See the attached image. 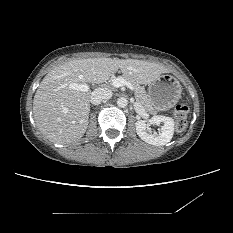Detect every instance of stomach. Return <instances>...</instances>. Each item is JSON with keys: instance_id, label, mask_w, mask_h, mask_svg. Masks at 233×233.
<instances>
[{"instance_id": "0dacf381", "label": "stomach", "mask_w": 233, "mask_h": 233, "mask_svg": "<svg viewBox=\"0 0 233 233\" xmlns=\"http://www.w3.org/2000/svg\"><path fill=\"white\" fill-rule=\"evenodd\" d=\"M182 86L172 75L165 74L149 83L148 100L157 110H168L180 99Z\"/></svg>"}]
</instances>
